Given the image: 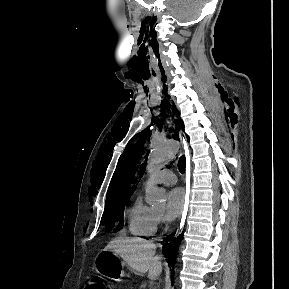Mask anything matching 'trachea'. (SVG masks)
<instances>
[{
    "label": "trachea",
    "mask_w": 289,
    "mask_h": 289,
    "mask_svg": "<svg viewBox=\"0 0 289 289\" xmlns=\"http://www.w3.org/2000/svg\"><path fill=\"white\" fill-rule=\"evenodd\" d=\"M185 167H186V160H185V156H181L179 158V161H178V169H179V172L184 174L185 172Z\"/></svg>",
    "instance_id": "trachea-1"
}]
</instances>
